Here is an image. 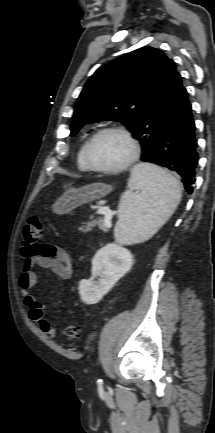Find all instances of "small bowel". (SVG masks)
Returning a JSON list of instances; mask_svg holds the SVG:
<instances>
[{"label":"small bowel","instance_id":"1","mask_svg":"<svg viewBox=\"0 0 215 433\" xmlns=\"http://www.w3.org/2000/svg\"><path fill=\"white\" fill-rule=\"evenodd\" d=\"M22 273L18 279V285L24 297V304L29 310V315L42 332L50 338L57 336V330L44 315V305L38 301L35 295L30 293L39 282V274L36 268H48L61 279L72 277V265L70 253L58 246L39 244L32 255H24Z\"/></svg>","mask_w":215,"mask_h":433}]
</instances>
